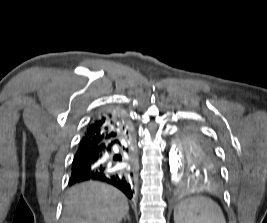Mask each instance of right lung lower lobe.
Masks as SVG:
<instances>
[{
    "mask_svg": "<svg viewBox=\"0 0 267 223\" xmlns=\"http://www.w3.org/2000/svg\"><path fill=\"white\" fill-rule=\"evenodd\" d=\"M119 137L82 148L74 156L69 185L96 180L120 189L129 199L133 197L136 174L132 167H122L118 162L129 160V147L124 143L132 141L131 124L124 127ZM117 162V163H116Z\"/></svg>",
    "mask_w": 267,
    "mask_h": 223,
    "instance_id": "98d812e1",
    "label": "right lung lower lobe"
}]
</instances>
